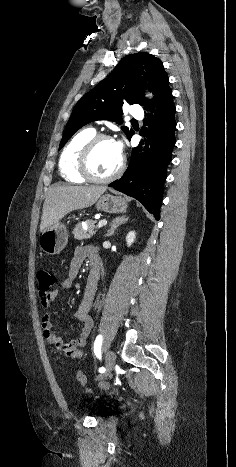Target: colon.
Returning a JSON list of instances; mask_svg holds the SVG:
<instances>
[{
    "label": "colon",
    "instance_id": "colon-1",
    "mask_svg": "<svg viewBox=\"0 0 236 467\" xmlns=\"http://www.w3.org/2000/svg\"><path fill=\"white\" fill-rule=\"evenodd\" d=\"M37 278L39 293L42 297H45L53 291L56 282L55 274L51 268L42 267L37 273ZM77 379L82 386L86 387L87 379L83 372H78ZM87 390L89 391L90 389L87 388Z\"/></svg>",
    "mask_w": 236,
    "mask_h": 467
}]
</instances>
